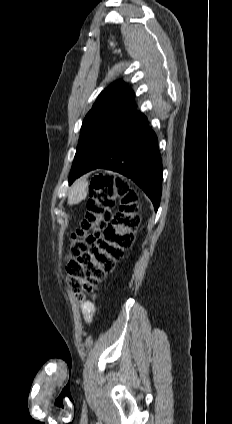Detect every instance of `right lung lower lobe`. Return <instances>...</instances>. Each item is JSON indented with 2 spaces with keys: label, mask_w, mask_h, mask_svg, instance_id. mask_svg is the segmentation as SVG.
<instances>
[{
  "label": "right lung lower lobe",
  "mask_w": 232,
  "mask_h": 424,
  "mask_svg": "<svg viewBox=\"0 0 232 424\" xmlns=\"http://www.w3.org/2000/svg\"><path fill=\"white\" fill-rule=\"evenodd\" d=\"M104 168L116 171L133 180L151 199L158 210L162 191V160L157 136L140 112L133 111V119L113 131L85 163L76 178Z\"/></svg>",
  "instance_id": "1"
}]
</instances>
